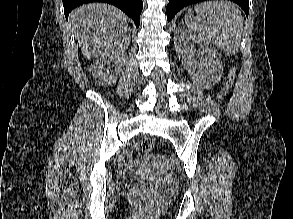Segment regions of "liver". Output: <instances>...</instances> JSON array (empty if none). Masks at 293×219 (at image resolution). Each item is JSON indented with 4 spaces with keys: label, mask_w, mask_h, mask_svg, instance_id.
I'll return each instance as SVG.
<instances>
[{
    "label": "liver",
    "mask_w": 293,
    "mask_h": 219,
    "mask_svg": "<svg viewBox=\"0 0 293 219\" xmlns=\"http://www.w3.org/2000/svg\"><path fill=\"white\" fill-rule=\"evenodd\" d=\"M69 20L87 59L121 55L130 44L126 16L114 6L105 3L82 5L70 13Z\"/></svg>",
    "instance_id": "obj_1"
}]
</instances>
